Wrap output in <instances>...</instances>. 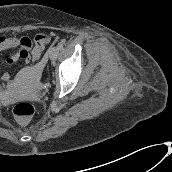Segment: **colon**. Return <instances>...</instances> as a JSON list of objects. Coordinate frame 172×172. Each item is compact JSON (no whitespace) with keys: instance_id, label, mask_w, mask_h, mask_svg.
Returning a JSON list of instances; mask_svg holds the SVG:
<instances>
[{"instance_id":"obj_1","label":"colon","mask_w":172,"mask_h":172,"mask_svg":"<svg viewBox=\"0 0 172 172\" xmlns=\"http://www.w3.org/2000/svg\"><path fill=\"white\" fill-rule=\"evenodd\" d=\"M41 38L50 41L48 34H42ZM35 108L29 102H19L13 107V114L17 121L21 124H26L34 115Z\"/></svg>"}]
</instances>
